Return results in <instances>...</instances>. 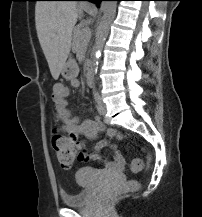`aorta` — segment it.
<instances>
[{"label":"aorta","instance_id":"obj_1","mask_svg":"<svg viewBox=\"0 0 202 217\" xmlns=\"http://www.w3.org/2000/svg\"><path fill=\"white\" fill-rule=\"evenodd\" d=\"M116 1H102L101 9L103 16L101 18L98 31L96 34L95 45L93 48V67L95 68L98 65V60L101 56V51L105 43L106 37L108 35L110 24L115 16L116 12Z\"/></svg>","mask_w":202,"mask_h":217}]
</instances>
